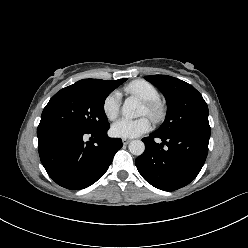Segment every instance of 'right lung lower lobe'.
Masks as SVG:
<instances>
[{"mask_svg":"<svg viewBox=\"0 0 248 248\" xmlns=\"http://www.w3.org/2000/svg\"><path fill=\"white\" fill-rule=\"evenodd\" d=\"M109 128L88 132L66 124H39L40 160L53 181L70 190L95 183L123 145L120 138L107 136ZM87 136L90 141L85 142Z\"/></svg>","mask_w":248,"mask_h":248,"instance_id":"98d812e1","label":"right lung lower lobe"}]
</instances>
